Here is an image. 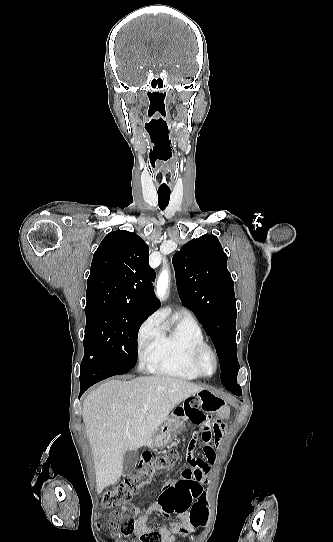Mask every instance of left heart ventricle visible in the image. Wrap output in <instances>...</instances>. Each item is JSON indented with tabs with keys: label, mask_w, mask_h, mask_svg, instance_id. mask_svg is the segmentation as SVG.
Segmentation results:
<instances>
[{
	"label": "left heart ventricle",
	"mask_w": 333,
	"mask_h": 542,
	"mask_svg": "<svg viewBox=\"0 0 333 542\" xmlns=\"http://www.w3.org/2000/svg\"><path fill=\"white\" fill-rule=\"evenodd\" d=\"M201 367L205 373H211L213 371V361L210 355L205 354L201 360Z\"/></svg>",
	"instance_id": "left-heart-ventricle-1"
}]
</instances>
